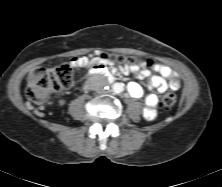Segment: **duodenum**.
Wrapping results in <instances>:
<instances>
[{
    "instance_id": "duodenum-1",
    "label": "duodenum",
    "mask_w": 222,
    "mask_h": 187,
    "mask_svg": "<svg viewBox=\"0 0 222 187\" xmlns=\"http://www.w3.org/2000/svg\"><path fill=\"white\" fill-rule=\"evenodd\" d=\"M102 72H107L108 73V76H109V79H113L114 78V75L112 74V73H110V72H108L107 70H105V69H97L96 71H95V73H102Z\"/></svg>"
}]
</instances>
